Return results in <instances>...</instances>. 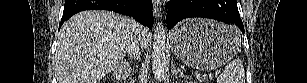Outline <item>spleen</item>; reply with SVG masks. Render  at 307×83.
Wrapping results in <instances>:
<instances>
[{
  "mask_svg": "<svg viewBox=\"0 0 307 83\" xmlns=\"http://www.w3.org/2000/svg\"><path fill=\"white\" fill-rule=\"evenodd\" d=\"M217 83H245V71L240 59H234L225 66Z\"/></svg>",
  "mask_w": 307,
  "mask_h": 83,
  "instance_id": "obj_1",
  "label": "spleen"
}]
</instances>
